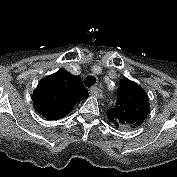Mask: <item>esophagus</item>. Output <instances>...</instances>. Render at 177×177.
Listing matches in <instances>:
<instances>
[{"label": "esophagus", "mask_w": 177, "mask_h": 177, "mask_svg": "<svg viewBox=\"0 0 177 177\" xmlns=\"http://www.w3.org/2000/svg\"><path fill=\"white\" fill-rule=\"evenodd\" d=\"M90 94L92 96L97 97V98H102L103 97V91L100 88H98V87H92L90 89Z\"/></svg>", "instance_id": "esophagus-1"}]
</instances>
